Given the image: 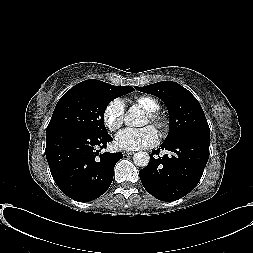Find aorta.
<instances>
[{"label":"aorta","instance_id":"1","mask_svg":"<svg viewBox=\"0 0 253 253\" xmlns=\"http://www.w3.org/2000/svg\"><path fill=\"white\" fill-rule=\"evenodd\" d=\"M127 126H140L141 120L139 115L130 112L124 119ZM134 164L140 167H146L150 161V156L147 152H137L133 155Z\"/></svg>","mask_w":253,"mask_h":253}]
</instances>
